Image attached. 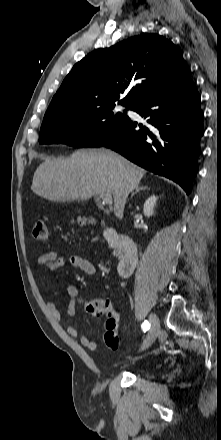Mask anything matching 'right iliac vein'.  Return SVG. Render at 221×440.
<instances>
[{"mask_svg": "<svg viewBox=\"0 0 221 440\" xmlns=\"http://www.w3.org/2000/svg\"><path fill=\"white\" fill-rule=\"evenodd\" d=\"M150 320V329L148 331V334L141 346V350H145L147 348H149L154 341L156 340L158 334H159V330H160V323H159V319L155 314H151L149 317Z\"/></svg>", "mask_w": 221, "mask_h": 440, "instance_id": "right-iliac-vein-1", "label": "right iliac vein"}]
</instances>
